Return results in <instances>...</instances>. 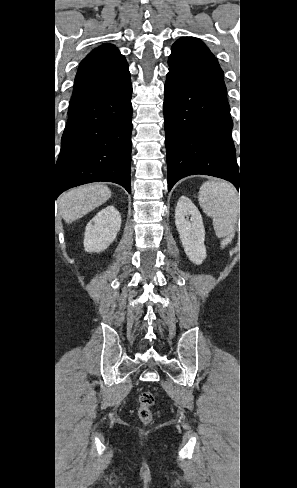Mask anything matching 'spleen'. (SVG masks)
<instances>
[{"mask_svg": "<svg viewBox=\"0 0 297 488\" xmlns=\"http://www.w3.org/2000/svg\"><path fill=\"white\" fill-rule=\"evenodd\" d=\"M199 202L203 211L211 216L218 237L228 235L238 209V195L225 182H205L199 192Z\"/></svg>", "mask_w": 297, "mask_h": 488, "instance_id": "obj_1", "label": "spleen"}]
</instances>
